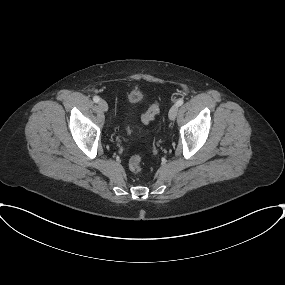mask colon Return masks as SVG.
Here are the masks:
<instances>
[{
	"label": "colon",
	"mask_w": 285,
	"mask_h": 285,
	"mask_svg": "<svg viewBox=\"0 0 285 285\" xmlns=\"http://www.w3.org/2000/svg\"><path fill=\"white\" fill-rule=\"evenodd\" d=\"M159 111H160L159 103L158 102L152 103L147 109V111L141 116V121L145 124L150 123L151 121L154 120ZM129 169L133 173H140L142 171V161L139 156L137 155L133 156L129 160Z\"/></svg>",
	"instance_id": "1"
}]
</instances>
